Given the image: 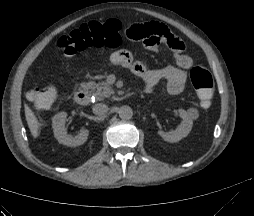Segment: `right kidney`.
Masks as SVG:
<instances>
[{"instance_id": "1", "label": "right kidney", "mask_w": 254, "mask_h": 216, "mask_svg": "<svg viewBox=\"0 0 254 216\" xmlns=\"http://www.w3.org/2000/svg\"><path fill=\"white\" fill-rule=\"evenodd\" d=\"M67 118L66 112H59L53 118L52 128L54 131V136L59 143L76 147L84 144L88 138L89 131L87 129H81L77 136L72 137L71 135H66L65 132V122Z\"/></svg>"}]
</instances>
